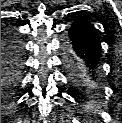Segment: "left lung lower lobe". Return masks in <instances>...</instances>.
Wrapping results in <instances>:
<instances>
[{"label":"left lung lower lobe","mask_w":122,"mask_h":123,"mask_svg":"<svg viewBox=\"0 0 122 123\" xmlns=\"http://www.w3.org/2000/svg\"><path fill=\"white\" fill-rule=\"evenodd\" d=\"M100 49L95 28L84 17L73 22L63 39L64 63L70 82L89 95L96 91Z\"/></svg>","instance_id":"left-lung-lower-lobe-1"}]
</instances>
